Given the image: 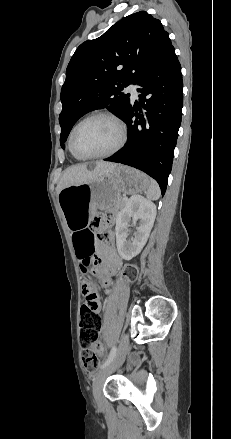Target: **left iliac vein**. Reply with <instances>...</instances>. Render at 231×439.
Returning a JSON list of instances; mask_svg holds the SVG:
<instances>
[{
    "mask_svg": "<svg viewBox=\"0 0 231 439\" xmlns=\"http://www.w3.org/2000/svg\"><path fill=\"white\" fill-rule=\"evenodd\" d=\"M128 345L129 337L128 334L125 333L120 341L119 349L113 360L95 376L92 391L94 399L100 408L103 406L102 389L104 381L110 374H112L122 365L128 350Z\"/></svg>",
    "mask_w": 231,
    "mask_h": 439,
    "instance_id": "4c4485c4",
    "label": "left iliac vein"
}]
</instances>
